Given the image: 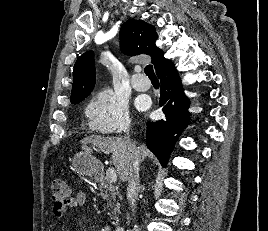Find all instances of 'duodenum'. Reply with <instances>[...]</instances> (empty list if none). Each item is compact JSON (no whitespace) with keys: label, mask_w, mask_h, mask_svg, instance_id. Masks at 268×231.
I'll return each mask as SVG.
<instances>
[{"label":"duodenum","mask_w":268,"mask_h":231,"mask_svg":"<svg viewBox=\"0 0 268 231\" xmlns=\"http://www.w3.org/2000/svg\"><path fill=\"white\" fill-rule=\"evenodd\" d=\"M115 231H124V229L122 227H117Z\"/></svg>","instance_id":"duodenum-1"}]
</instances>
